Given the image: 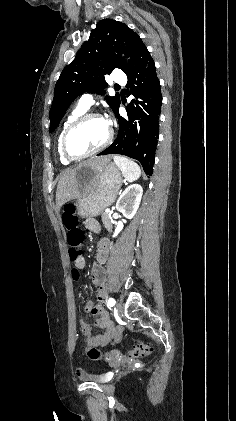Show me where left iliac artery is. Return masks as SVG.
Listing matches in <instances>:
<instances>
[{
  "label": "left iliac artery",
  "mask_w": 236,
  "mask_h": 421,
  "mask_svg": "<svg viewBox=\"0 0 236 421\" xmlns=\"http://www.w3.org/2000/svg\"><path fill=\"white\" fill-rule=\"evenodd\" d=\"M116 304V301L113 298L108 299V307H113Z\"/></svg>",
  "instance_id": "left-iliac-artery-1"
}]
</instances>
